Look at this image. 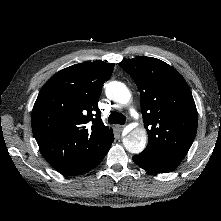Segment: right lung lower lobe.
I'll return each instance as SVG.
<instances>
[{"mask_svg": "<svg viewBox=\"0 0 221 221\" xmlns=\"http://www.w3.org/2000/svg\"><path fill=\"white\" fill-rule=\"evenodd\" d=\"M108 150L104 154L99 156L97 159H95L93 162H91L90 164L83 167L82 169L74 171V172L66 174V175H78V174H82V173H86V172L90 171L91 169H93L94 167H96L97 165H99L101 163V161L104 159L105 155L107 154Z\"/></svg>", "mask_w": 221, "mask_h": 221, "instance_id": "98d812e1", "label": "right lung lower lobe"}]
</instances>
